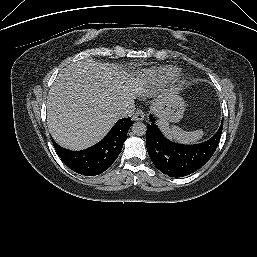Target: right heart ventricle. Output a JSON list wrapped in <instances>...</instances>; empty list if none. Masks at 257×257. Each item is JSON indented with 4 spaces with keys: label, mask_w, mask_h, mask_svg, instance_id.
Segmentation results:
<instances>
[{
    "label": "right heart ventricle",
    "mask_w": 257,
    "mask_h": 257,
    "mask_svg": "<svg viewBox=\"0 0 257 257\" xmlns=\"http://www.w3.org/2000/svg\"><path fill=\"white\" fill-rule=\"evenodd\" d=\"M177 68L171 65L152 69L147 74V86L150 91L157 90L168 84L176 75Z\"/></svg>",
    "instance_id": "right-heart-ventricle-1"
}]
</instances>
